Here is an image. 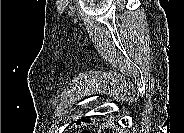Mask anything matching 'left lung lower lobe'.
<instances>
[{"instance_id": "0a47b994", "label": "left lung lower lobe", "mask_w": 184, "mask_h": 133, "mask_svg": "<svg viewBox=\"0 0 184 133\" xmlns=\"http://www.w3.org/2000/svg\"><path fill=\"white\" fill-rule=\"evenodd\" d=\"M81 121H83V122H89L90 121V117H82L81 119H78L77 121H76V123L78 124V123H81Z\"/></svg>"}]
</instances>
